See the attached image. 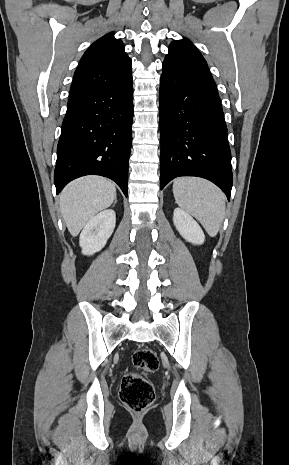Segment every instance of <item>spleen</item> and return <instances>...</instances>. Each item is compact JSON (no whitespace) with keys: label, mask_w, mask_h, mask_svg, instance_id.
Here are the masks:
<instances>
[{"label":"spleen","mask_w":289,"mask_h":465,"mask_svg":"<svg viewBox=\"0 0 289 465\" xmlns=\"http://www.w3.org/2000/svg\"><path fill=\"white\" fill-rule=\"evenodd\" d=\"M176 203L194 216L209 236L217 235L225 216V195L213 183L199 177H179L174 180Z\"/></svg>","instance_id":"spleen-1"}]
</instances>
